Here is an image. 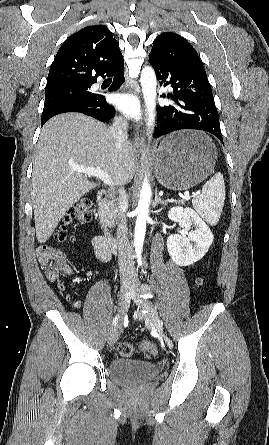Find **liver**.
Instances as JSON below:
<instances>
[{
    "mask_svg": "<svg viewBox=\"0 0 269 445\" xmlns=\"http://www.w3.org/2000/svg\"><path fill=\"white\" fill-rule=\"evenodd\" d=\"M135 151L131 142L115 147L110 129L78 113L53 117L41 130L32 173V200L36 237L45 243L61 218L98 184L89 182L74 167L104 170L117 184L134 176Z\"/></svg>",
    "mask_w": 269,
    "mask_h": 445,
    "instance_id": "6515ba94",
    "label": "liver"
}]
</instances>
